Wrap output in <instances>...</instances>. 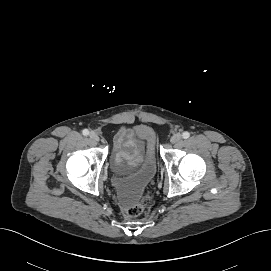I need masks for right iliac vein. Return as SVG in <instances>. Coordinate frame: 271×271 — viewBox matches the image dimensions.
I'll return each mask as SVG.
<instances>
[{
  "instance_id": "obj_1",
  "label": "right iliac vein",
  "mask_w": 271,
  "mask_h": 271,
  "mask_svg": "<svg viewBox=\"0 0 271 271\" xmlns=\"http://www.w3.org/2000/svg\"><path fill=\"white\" fill-rule=\"evenodd\" d=\"M89 137L94 142H98L99 141V136H98V134L95 131L90 132Z\"/></svg>"
}]
</instances>
